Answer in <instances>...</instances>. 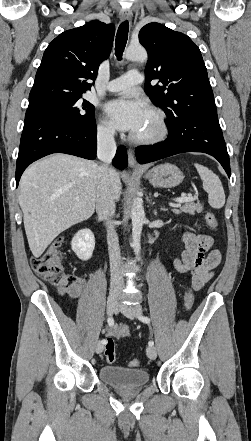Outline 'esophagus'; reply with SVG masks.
<instances>
[{"label": "esophagus", "mask_w": 251, "mask_h": 441, "mask_svg": "<svg viewBox=\"0 0 251 441\" xmlns=\"http://www.w3.org/2000/svg\"><path fill=\"white\" fill-rule=\"evenodd\" d=\"M120 19L122 21L130 20L131 19V12L128 10H122L120 12ZM128 164H129L130 168H133V169L140 168V165L138 164V162L133 154V151L131 149L128 150Z\"/></svg>", "instance_id": "esophagus-1"}]
</instances>
